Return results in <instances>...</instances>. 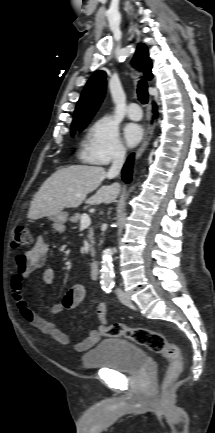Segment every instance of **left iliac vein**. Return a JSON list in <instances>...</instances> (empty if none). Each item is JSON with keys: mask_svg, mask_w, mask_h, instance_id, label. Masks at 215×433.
<instances>
[{"mask_svg": "<svg viewBox=\"0 0 215 433\" xmlns=\"http://www.w3.org/2000/svg\"><path fill=\"white\" fill-rule=\"evenodd\" d=\"M118 298L125 305H131L132 304L130 297L125 292L119 293Z\"/></svg>", "mask_w": 215, "mask_h": 433, "instance_id": "4c4485c4", "label": "left iliac vein"}]
</instances>
